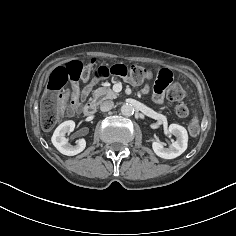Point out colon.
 <instances>
[{
	"label": "colon",
	"mask_w": 236,
	"mask_h": 236,
	"mask_svg": "<svg viewBox=\"0 0 236 236\" xmlns=\"http://www.w3.org/2000/svg\"><path fill=\"white\" fill-rule=\"evenodd\" d=\"M109 76H119L133 83H142L152 78V73L147 68L138 64H114L111 66H98L92 68L84 66L80 61H71L62 67L56 68L49 77L47 91L42 103L41 125L44 130H51L62 117L65 103L61 92L68 83L76 84L79 80L97 81ZM171 71L163 69L159 72L154 91L165 93L167 98L176 102L175 111L179 117L185 118L190 115V109L185 103L186 91L180 84L173 83ZM79 99L72 97L70 112L79 110ZM188 131L191 136L196 137L200 132L198 119L191 120Z\"/></svg>",
	"instance_id": "colon-1"
}]
</instances>
